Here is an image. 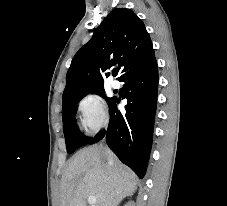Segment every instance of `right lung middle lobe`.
Returning <instances> with one entry per match:
<instances>
[{"mask_svg":"<svg viewBox=\"0 0 227 206\" xmlns=\"http://www.w3.org/2000/svg\"><path fill=\"white\" fill-rule=\"evenodd\" d=\"M89 93H95L105 98L104 88L100 87L63 99V131L66 140L67 152L69 154L73 153L77 148L88 144L91 140V138L84 136L79 131L74 120V114L75 112H77L75 105L79 102L80 99H82ZM113 99L114 97L106 98V101L109 104Z\"/></svg>","mask_w":227,"mask_h":206,"instance_id":"dd1d6c3e","label":"right lung middle lobe"}]
</instances>
